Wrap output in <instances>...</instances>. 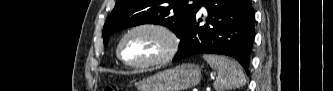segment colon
<instances>
[{"label": "colon", "mask_w": 333, "mask_h": 91, "mask_svg": "<svg viewBox=\"0 0 333 91\" xmlns=\"http://www.w3.org/2000/svg\"><path fill=\"white\" fill-rule=\"evenodd\" d=\"M105 91H118V87L114 84L107 85L104 89Z\"/></svg>", "instance_id": "5ec220e1"}]
</instances>
